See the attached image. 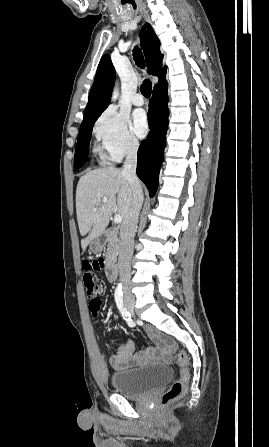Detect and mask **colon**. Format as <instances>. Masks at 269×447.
Masks as SVG:
<instances>
[{
	"instance_id": "colon-1",
	"label": "colon",
	"mask_w": 269,
	"mask_h": 447,
	"mask_svg": "<svg viewBox=\"0 0 269 447\" xmlns=\"http://www.w3.org/2000/svg\"><path fill=\"white\" fill-rule=\"evenodd\" d=\"M105 265L104 257H85L84 258V270L85 271H102ZM83 286L85 288V294L87 298H92L90 306L92 310L98 308L101 301L100 295L104 293L105 285L103 280L97 278L92 272H84L83 274ZM95 318L98 316L96 313L93 315ZM172 348L170 360H172L180 369V374L175 379L168 390H166L161 398V404L168 406L176 402L181 397L187 387V383L190 376L189 371V359L185 351L178 349L173 350L171 343L167 344V350Z\"/></svg>"
}]
</instances>
